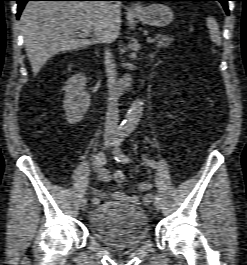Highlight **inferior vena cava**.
I'll return each instance as SVG.
<instances>
[{"instance_id":"1","label":"inferior vena cava","mask_w":247,"mask_h":265,"mask_svg":"<svg viewBox=\"0 0 247 265\" xmlns=\"http://www.w3.org/2000/svg\"><path fill=\"white\" fill-rule=\"evenodd\" d=\"M104 63H105L107 82L109 88L108 107H107L106 121H105V134L111 135L114 134L118 129L119 92L117 90L118 81H117L116 64L114 63L113 55L110 52V50L105 51Z\"/></svg>"}]
</instances>
